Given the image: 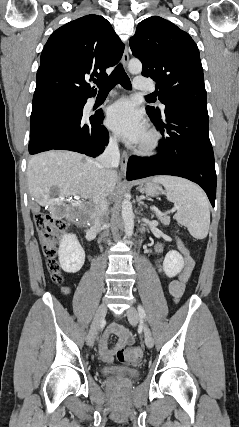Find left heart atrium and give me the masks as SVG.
Listing matches in <instances>:
<instances>
[{"mask_svg":"<svg viewBox=\"0 0 239 427\" xmlns=\"http://www.w3.org/2000/svg\"><path fill=\"white\" fill-rule=\"evenodd\" d=\"M107 125L124 140L137 143L146 132L145 121L128 99H121L110 106L107 113Z\"/></svg>","mask_w":239,"mask_h":427,"instance_id":"1","label":"left heart atrium"}]
</instances>
